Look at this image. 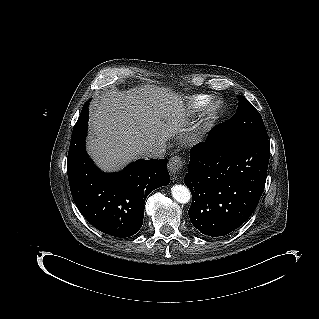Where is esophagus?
<instances>
[{
    "label": "esophagus",
    "instance_id": "34e87169",
    "mask_svg": "<svg viewBox=\"0 0 319 319\" xmlns=\"http://www.w3.org/2000/svg\"><path fill=\"white\" fill-rule=\"evenodd\" d=\"M182 166H183V162L181 157L174 156L169 160L168 170L171 175L175 176L176 174L180 172V170L182 169Z\"/></svg>",
    "mask_w": 319,
    "mask_h": 319
}]
</instances>
